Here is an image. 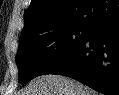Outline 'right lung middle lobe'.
Returning <instances> with one entry per match:
<instances>
[{"label": "right lung middle lobe", "instance_id": "1", "mask_svg": "<svg viewBox=\"0 0 119 95\" xmlns=\"http://www.w3.org/2000/svg\"><path fill=\"white\" fill-rule=\"evenodd\" d=\"M91 28L69 24L49 26L20 37L16 55L19 83L42 75L61 60L89 33Z\"/></svg>", "mask_w": 119, "mask_h": 95}]
</instances>
